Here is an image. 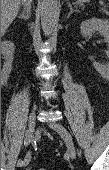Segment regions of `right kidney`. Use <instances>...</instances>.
<instances>
[{
  "label": "right kidney",
  "instance_id": "1",
  "mask_svg": "<svg viewBox=\"0 0 109 170\" xmlns=\"http://www.w3.org/2000/svg\"><path fill=\"white\" fill-rule=\"evenodd\" d=\"M2 52L5 56V62L1 71L2 80L6 81L12 70V61L14 54V44L11 41H3L1 43Z\"/></svg>",
  "mask_w": 109,
  "mask_h": 170
}]
</instances>
